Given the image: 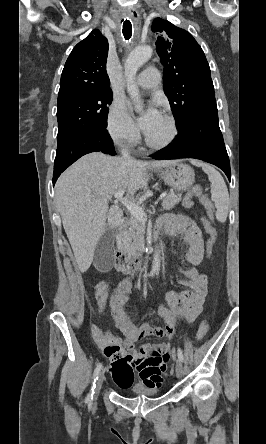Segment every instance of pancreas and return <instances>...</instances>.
Returning <instances> with one entry per match:
<instances>
[{
	"label": "pancreas",
	"mask_w": 266,
	"mask_h": 444,
	"mask_svg": "<svg viewBox=\"0 0 266 444\" xmlns=\"http://www.w3.org/2000/svg\"><path fill=\"white\" fill-rule=\"evenodd\" d=\"M181 200V194L175 193L171 191L168 195H166L162 201L163 210H171L175 207ZM143 209V207H141ZM144 230V219H139L134 215L131 216L129 222V229L126 236V242L130 245L134 252V256L138 257L136 253L139 242L142 236V232Z\"/></svg>",
	"instance_id": "obj_1"
}]
</instances>
